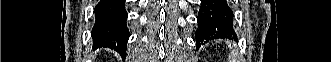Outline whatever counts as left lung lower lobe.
Instances as JSON below:
<instances>
[{
    "mask_svg": "<svg viewBox=\"0 0 331 62\" xmlns=\"http://www.w3.org/2000/svg\"><path fill=\"white\" fill-rule=\"evenodd\" d=\"M198 29L195 33L196 45L214 39H224L236 34L233 29V11L227 0H201L198 14Z\"/></svg>",
    "mask_w": 331,
    "mask_h": 62,
    "instance_id": "left-lung-lower-lobe-1",
    "label": "left lung lower lobe"
}]
</instances>
